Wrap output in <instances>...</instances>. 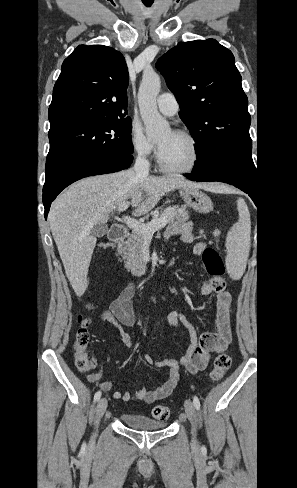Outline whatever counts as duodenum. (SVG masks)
I'll list each match as a JSON object with an SVG mask.
<instances>
[{
  "instance_id": "1",
  "label": "duodenum",
  "mask_w": 297,
  "mask_h": 488,
  "mask_svg": "<svg viewBox=\"0 0 297 488\" xmlns=\"http://www.w3.org/2000/svg\"><path fill=\"white\" fill-rule=\"evenodd\" d=\"M109 239L115 243H122L127 236V229L119 224H113L109 230ZM146 273V268H138L132 272L135 276H142Z\"/></svg>"
}]
</instances>
